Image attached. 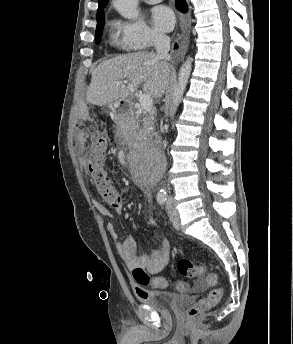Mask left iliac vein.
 <instances>
[{
  "label": "left iliac vein",
  "mask_w": 293,
  "mask_h": 344,
  "mask_svg": "<svg viewBox=\"0 0 293 344\" xmlns=\"http://www.w3.org/2000/svg\"><path fill=\"white\" fill-rule=\"evenodd\" d=\"M168 214H169V218L170 221L172 222L173 226L176 229H179L180 226V218H179V213L176 210V208L174 206H169L168 208Z\"/></svg>",
  "instance_id": "left-iliac-vein-1"
}]
</instances>
